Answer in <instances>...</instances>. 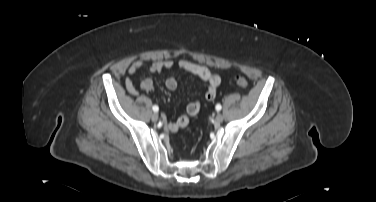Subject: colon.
<instances>
[{
	"instance_id": "1",
	"label": "colon",
	"mask_w": 376,
	"mask_h": 202,
	"mask_svg": "<svg viewBox=\"0 0 376 202\" xmlns=\"http://www.w3.org/2000/svg\"><path fill=\"white\" fill-rule=\"evenodd\" d=\"M235 83L240 88H246L248 86L247 79L240 75L235 77ZM192 112L193 113L197 112V108L196 107L192 108Z\"/></svg>"
}]
</instances>
